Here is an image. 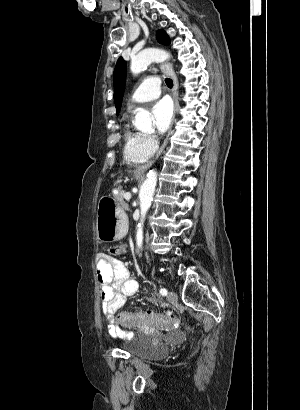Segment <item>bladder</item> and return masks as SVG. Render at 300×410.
Returning <instances> with one entry per match:
<instances>
[{"label": "bladder", "mask_w": 300, "mask_h": 410, "mask_svg": "<svg viewBox=\"0 0 300 410\" xmlns=\"http://www.w3.org/2000/svg\"><path fill=\"white\" fill-rule=\"evenodd\" d=\"M128 351L131 355L139 358L161 356L168 351V346L163 342H130Z\"/></svg>", "instance_id": "bladder-1"}]
</instances>
